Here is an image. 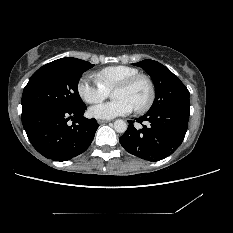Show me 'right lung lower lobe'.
Returning a JSON list of instances; mask_svg holds the SVG:
<instances>
[{"label":"right lung lower lobe","instance_id":"1","mask_svg":"<svg viewBox=\"0 0 233 233\" xmlns=\"http://www.w3.org/2000/svg\"><path fill=\"white\" fill-rule=\"evenodd\" d=\"M85 110L86 105L75 110L47 107L22 116V123L29 141L41 155L67 161L89 147L99 126L94 118H84Z\"/></svg>","mask_w":233,"mask_h":233}]
</instances>
